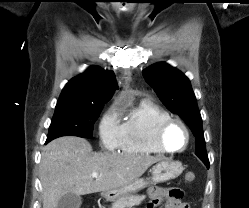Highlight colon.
Instances as JSON below:
<instances>
[{
  "mask_svg": "<svg viewBox=\"0 0 249 208\" xmlns=\"http://www.w3.org/2000/svg\"><path fill=\"white\" fill-rule=\"evenodd\" d=\"M185 180L187 183H192L195 180V175L193 173H188L185 176Z\"/></svg>",
  "mask_w": 249,
  "mask_h": 208,
  "instance_id": "1",
  "label": "colon"
}]
</instances>
